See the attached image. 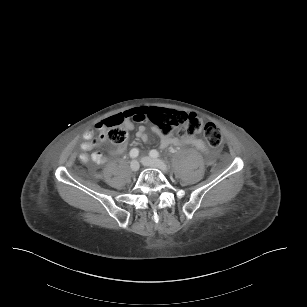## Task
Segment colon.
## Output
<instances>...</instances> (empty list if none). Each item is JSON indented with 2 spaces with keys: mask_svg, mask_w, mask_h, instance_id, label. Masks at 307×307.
<instances>
[{
  "mask_svg": "<svg viewBox=\"0 0 307 307\" xmlns=\"http://www.w3.org/2000/svg\"><path fill=\"white\" fill-rule=\"evenodd\" d=\"M148 121L163 135H170L177 131L179 135H193L203 131L204 138L213 148H220L222 135L213 123H202L201 120L191 113L177 112L163 109L148 111ZM124 117L106 119L98 124L102 135L113 144H122L127 138V131L122 126Z\"/></svg>",
  "mask_w": 307,
  "mask_h": 307,
  "instance_id": "5ec220e1",
  "label": "colon"
}]
</instances>
